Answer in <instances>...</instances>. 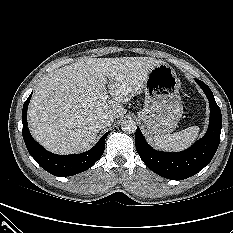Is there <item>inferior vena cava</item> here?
Segmentation results:
<instances>
[{
    "label": "inferior vena cava",
    "instance_id": "obj_1",
    "mask_svg": "<svg viewBox=\"0 0 233 233\" xmlns=\"http://www.w3.org/2000/svg\"><path fill=\"white\" fill-rule=\"evenodd\" d=\"M94 121L98 129H103L109 127L113 123L114 117L112 115L102 114L96 116Z\"/></svg>",
    "mask_w": 233,
    "mask_h": 233
}]
</instances>
